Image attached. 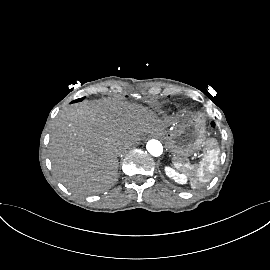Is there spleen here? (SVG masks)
<instances>
[{"mask_svg": "<svg viewBox=\"0 0 270 270\" xmlns=\"http://www.w3.org/2000/svg\"><path fill=\"white\" fill-rule=\"evenodd\" d=\"M204 158L197 165H189L185 163H175L174 166L182 173L188 176L197 177L200 182H207L210 180L211 174L219 163L220 149L217 142L214 139H210L205 144ZM195 180V178H193Z\"/></svg>", "mask_w": 270, "mask_h": 270, "instance_id": "3e777b00", "label": "spleen"}]
</instances>
